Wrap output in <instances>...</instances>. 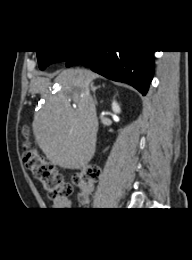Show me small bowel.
<instances>
[{
  "mask_svg": "<svg viewBox=\"0 0 192 260\" xmlns=\"http://www.w3.org/2000/svg\"><path fill=\"white\" fill-rule=\"evenodd\" d=\"M72 200L69 198L61 200H53L52 209L53 210H69L72 207Z\"/></svg>",
  "mask_w": 192,
  "mask_h": 260,
  "instance_id": "1",
  "label": "small bowel"
}]
</instances>
